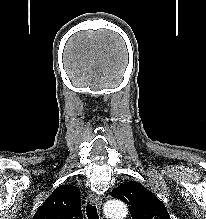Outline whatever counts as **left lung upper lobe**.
I'll use <instances>...</instances> for the list:
<instances>
[{
  "label": "left lung upper lobe",
  "instance_id": "left-lung-upper-lobe-1",
  "mask_svg": "<svg viewBox=\"0 0 206 219\" xmlns=\"http://www.w3.org/2000/svg\"><path fill=\"white\" fill-rule=\"evenodd\" d=\"M111 196L129 206L132 219H170L162 201L141 183L126 182L112 191Z\"/></svg>",
  "mask_w": 206,
  "mask_h": 219
}]
</instances>
